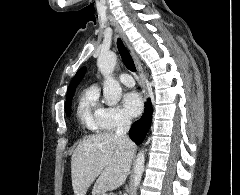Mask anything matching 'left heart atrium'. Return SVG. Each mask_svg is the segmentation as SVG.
Segmentation results:
<instances>
[{
    "label": "left heart atrium",
    "mask_w": 240,
    "mask_h": 195,
    "mask_svg": "<svg viewBox=\"0 0 240 195\" xmlns=\"http://www.w3.org/2000/svg\"><path fill=\"white\" fill-rule=\"evenodd\" d=\"M124 102L127 110L133 116H138L143 110L142 97L137 91L126 94Z\"/></svg>",
    "instance_id": "left-heart-atrium-1"
}]
</instances>
